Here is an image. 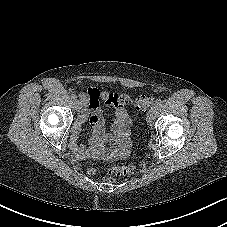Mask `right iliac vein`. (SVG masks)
I'll list each match as a JSON object with an SVG mask.
<instances>
[{
    "mask_svg": "<svg viewBox=\"0 0 227 227\" xmlns=\"http://www.w3.org/2000/svg\"><path fill=\"white\" fill-rule=\"evenodd\" d=\"M74 107L77 111H79L81 109V103L79 100L74 101Z\"/></svg>",
    "mask_w": 227,
    "mask_h": 227,
    "instance_id": "63e3f726",
    "label": "right iliac vein"
}]
</instances>
